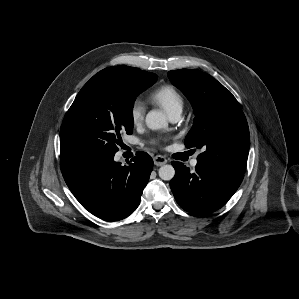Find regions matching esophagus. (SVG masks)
Wrapping results in <instances>:
<instances>
[{"mask_svg": "<svg viewBox=\"0 0 299 299\" xmlns=\"http://www.w3.org/2000/svg\"><path fill=\"white\" fill-rule=\"evenodd\" d=\"M153 160L156 166H162L167 163V159L161 155L155 156Z\"/></svg>", "mask_w": 299, "mask_h": 299, "instance_id": "obj_1", "label": "esophagus"}]
</instances>
